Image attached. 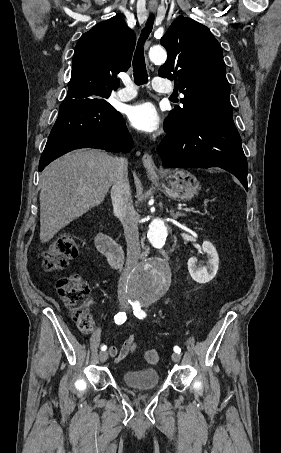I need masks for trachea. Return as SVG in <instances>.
I'll return each instance as SVG.
<instances>
[{
    "instance_id": "trachea-1",
    "label": "trachea",
    "mask_w": 281,
    "mask_h": 453,
    "mask_svg": "<svg viewBox=\"0 0 281 453\" xmlns=\"http://www.w3.org/2000/svg\"><path fill=\"white\" fill-rule=\"evenodd\" d=\"M154 18V15H150L148 17L146 26L143 28L139 41L137 42V48L133 57V75L136 85H144L148 81V74L144 59V42L152 31Z\"/></svg>"
}]
</instances>
